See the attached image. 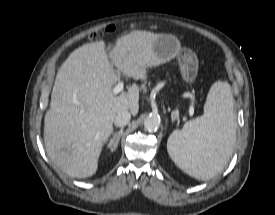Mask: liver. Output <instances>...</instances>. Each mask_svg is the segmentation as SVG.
Returning a JSON list of instances; mask_svg holds the SVG:
<instances>
[{
  "label": "liver",
  "mask_w": 275,
  "mask_h": 215,
  "mask_svg": "<svg viewBox=\"0 0 275 215\" xmlns=\"http://www.w3.org/2000/svg\"><path fill=\"white\" fill-rule=\"evenodd\" d=\"M160 35L136 30L118 38L110 53L113 62L104 41L88 43L62 64L44 118V142L48 157L64 173L76 178L95 174L114 117L124 110L138 113L137 85L113 93L119 80L113 65L134 80H146L147 68L166 62L154 51Z\"/></svg>",
  "instance_id": "liver-1"
}]
</instances>
